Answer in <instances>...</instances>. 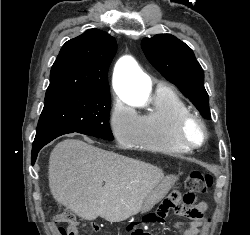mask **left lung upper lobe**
I'll use <instances>...</instances> for the list:
<instances>
[{"mask_svg":"<svg viewBox=\"0 0 250 235\" xmlns=\"http://www.w3.org/2000/svg\"><path fill=\"white\" fill-rule=\"evenodd\" d=\"M142 49L151 64L209 119V98L204 87V72L193 51L170 34H157L142 40Z\"/></svg>","mask_w":250,"mask_h":235,"instance_id":"1","label":"left lung upper lobe"}]
</instances>
